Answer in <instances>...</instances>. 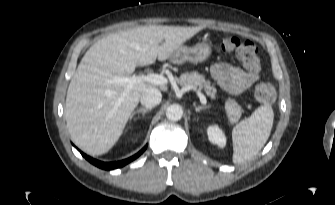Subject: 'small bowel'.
<instances>
[{
	"label": "small bowel",
	"instance_id": "c3829d8e",
	"mask_svg": "<svg viewBox=\"0 0 335 205\" xmlns=\"http://www.w3.org/2000/svg\"><path fill=\"white\" fill-rule=\"evenodd\" d=\"M212 77L225 92L238 95L250 88L259 79L255 71H245L229 63H215L210 68Z\"/></svg>",
	"mask_w": 335,
	"mask_h": 205
}]
</instances>
